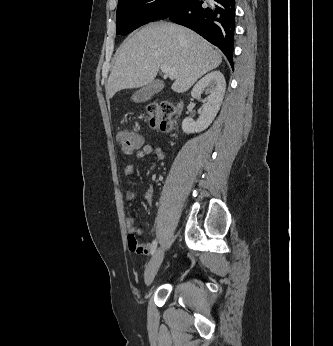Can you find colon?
Returning <instances> with one entry per match:
<instances>
[{"label":"colon","instance_id":"obj_1","mask_svg":"<svg viewBox=\"0 0 333 346\" xmlns=\"http://www.w3.org/2000/svg\"><path fill=\"white\" fill-rule=\"evenodd\" d=\"M150 117V125L159 131H168L171 127V117L175 113L172 102L164 101L159 104L150 105L147 108ZM117 142L125 154H132L142 146L141 136L128 129H121L117 133ZM146 230L145 228L143 229Z\"/></svg>","mask_w":333,"mask_h":346}]
</instances>
